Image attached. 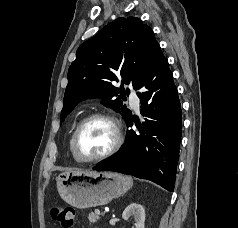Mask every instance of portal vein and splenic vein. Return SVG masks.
Instances as JSON below:
<instances>
[{
  "instance_id": "1",
  "label": "portal vein and splenic vein",
  "mask_w": 238,
  "mask_h": 228,
  "mask_svg": "<svg viewBox=\"0 0 238 228\" xmlns=\"http://www.w3.org/2000/svg\"><path fill=\"white\" fill-rule=\"evenodd\" d=\"M95 213L98 214V215H100V210H98V209L95 210Z\"/></svg>"
}]
</instances>
